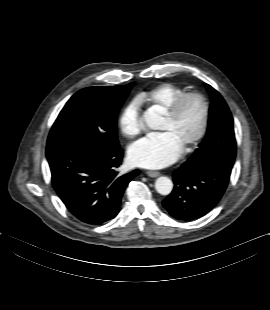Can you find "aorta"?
Listing matches in <instances>:
<instances>
[{
  "instance_id": "1",
  "label": "aorta",
  "mask_w": 270,
  "mask_h": 310,
  "mask_svg": "<svg viewBox=\"0 0 270 310\" xmlns=\"http://www.w3.org/2000/svg\"><path fill=\"white\" fill-rule=\"evenodd\" d=\"M147 126L153 130L161 128L163 117L154 111H148L143 116ZM155 189L161 195H169L173 189V183L168 177L162 176L156 179Z\"/></svg>"
}]
</instances>
